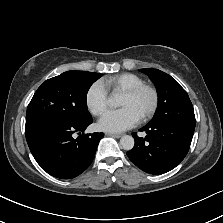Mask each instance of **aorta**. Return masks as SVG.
<instances>
[{"label": "aorta", "instance_id": "aorta-1", "mask_svg": "<svg viewBox=\"0 0 223 223\" xmlns=\"http://www.w3.org/2000/svg\"><path fill=\"white\" fill-rule=\"evenodd\" d=\"M108 104L110 107H118L121 105V102L117 95H113L109 98ZM120 145L124 150H131L134 146V138L129 135H124L120 139Z\"/></svg>", "mask_w": 223, "mask_h": 223}]
</instances>
